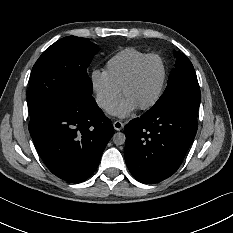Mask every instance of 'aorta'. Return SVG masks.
I'll return each instance as SVG.
<instances>
[{
	"label": "aorta",
	"instance_id": "762f6f07",
	"mask_svg": "<svg viewBox=\"0 0 233 233\" xmlns=\"http://www.w3.org/2000/svg\"><path fill=\"white\" fill-rule=\"evenodd\" d=\"M113 142L116 145H123L125 143V134L123 133H115L112 137Z\"/></svg>",
	"mask_w": 233,
	"mask_h": 233
}]
</instances>
